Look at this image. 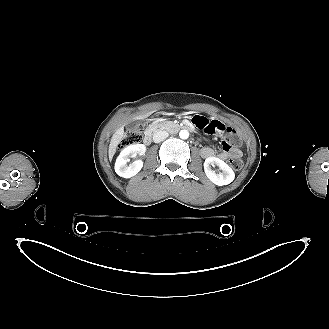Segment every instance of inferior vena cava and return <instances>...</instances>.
Returning <instances> with one entry per match:
<instances>
[{"instance_id": "inferior-vena-cava-1", "label": "inferior vena cava", "mask_w": 329, "mask_h": 329, "mask_svg": "<svg viewBox=\"0 0 329 329\" xmlns=\"http://www.w3.org/2000/svg\"><path fill=\"white\" fill-rule=\"evenodd\" d=\"M169 136L168 132L166 131H157L156 133H154L153 135V141L155 143H160L162 142L164 139H166Z\"/></svg>"}]
</instances>
